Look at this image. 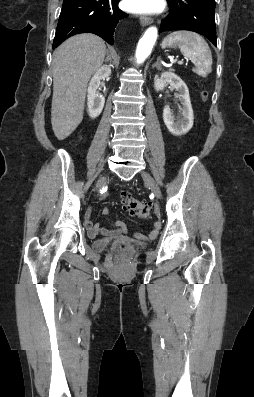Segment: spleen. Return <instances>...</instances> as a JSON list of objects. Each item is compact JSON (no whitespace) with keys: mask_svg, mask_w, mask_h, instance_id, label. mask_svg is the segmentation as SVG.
<instances>
[{"mask_svg":"<svg viewBox=\"0 0 254 397\" xmlns=\"http://www.w3.org/2000/svg\"><path fill=\"white\" fill-rule=\"evenodd\" d=\"M178 47L195 65V72L206 77L212 71V54L207 42L197 33L175 31L162 41V48Z\"/></svg>","mask_w":254,"mask_h":397,"instance_id":"spleen-1","label":"spleen"}]
</instances>
